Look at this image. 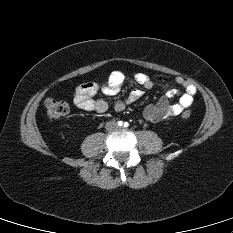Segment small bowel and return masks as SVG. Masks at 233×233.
Here are the masks:
<instances>
[{"label": "small bowel", "instance_id": "c3829d8e", "mask_svg": "<svg viewBox=\"0 0 233 233\" xmlns=\"http://www.w3.org/2000/svg\"><path fill=\"white\" fill-rule=\"evenodd\" d=\"M125 76L121 71H113L110 73L106 81L99 82H86L79 85L73 93L74 104L84 111H94L97 113H104L108 110V103L105 100H95L93 97L99 92L107 96L117 94L124 82ZM137 84L146 89L153 87V79L145 73H137L134 76ZM175 82L184 89L181 92L178 89L172 88L159 99L156 104H149L144 108L143 115L145 119L150 122H160L168 117L178 116L190 107L194 101V96L197 93V88L189 80L183 77H176ZM143 95L140 89H134L124 101H116L113 109L115 112L120 113L125 109L126 103H133ZM180 96L175 104H169V100L175 96Z\"/></svg>", "mask_w": 233, "mask_h": 233}]
</instances>
